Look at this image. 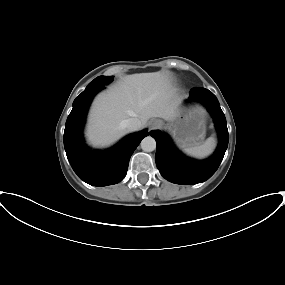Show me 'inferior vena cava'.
<instances>
[{"label": "inferior vena cava", "mask_w": 285, "mask_h": 285, "mask_svg": "<svg viewBox=\"0 0 285 285\" xmlns=\"http://www.w3.org/2000/svg\"><path fill=\"white\" fill-rule=\"evenodd\" d=\"M122 126L128 131H136L141 128V122L137 118H129L122 122Z\"/></svg>", "instance_id": "602c4592"}]
</instances>
